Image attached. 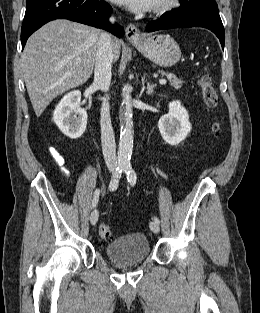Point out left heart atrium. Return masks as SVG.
<instances>
[{
  "mask_svg": "<svg viewBox=\"0 0 260 313\" xmlns=\"http://www.w3.org/2000/svg\"><path fill=\"white\" fill-rule=\"evenodd\" d=\"M113 2L125 6L132 12H145L152 9L155 0H112Z\"/></svg>",
  "mask_w": 260,
  "mask_h": 313,
  "instance_id": "left-heart-atrium-1",
  "label": "left heart atrium"
}]
</instances>
